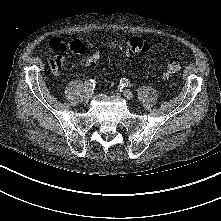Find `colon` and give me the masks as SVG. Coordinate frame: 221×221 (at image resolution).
<instances>
[{"instance_id":"colon-1","label":"colon","mask_w":221,"mask_h":221,"mask_svg":"<svg viewBox=\"0 0 221 221\" xmlns=\"http://www.w3.org/2000/svg\"><path fill=\"white\" fill-rule=\"evenodd\" d=\"M119 48H124L127 53L130 54H143L150 49V45L140 37H132L126 41L124 45H119ZM100 59L99 53H93L87 55L86 53L82 55L81 64L85 67L94 66ZM181 68V59L179 57L172 58L166 65L164 76L172 77L179 72Z\"/></svg>"}]
</instances>
